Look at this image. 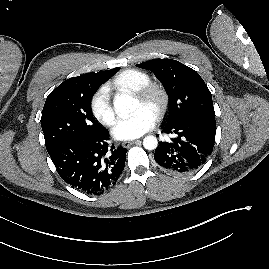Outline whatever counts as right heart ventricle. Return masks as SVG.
Instances as JSON below:
<instances>
[{
	"label": "right heart ventricle",
	"mask_w": 269,
	"mask_h": 269,
	"mask_svg": "<svg viewBox=\"0 0 269 269\" xmlns=\"http://www.w3.org/2000/svg\"><path fill=\"white\" fill-rule=\"evenodd\" d=\"M150 82V76L139 69L129 68L117 74L110 85L119 92L135 94Z\"/></svg>",
	"instance_id": "right-heart-ventricle-1"
}]
</instances>
